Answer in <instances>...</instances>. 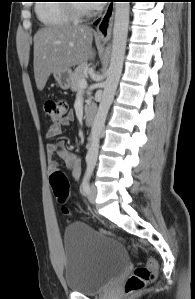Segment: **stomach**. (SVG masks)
<instances>
[{
  "mask_svg": "<svg viewBox=\"0 0 195 299\" xmlns=\"http://www.w3.org/2000/svg\"><path fill=\"white\" fill-rule=\"evenodd\" d=\"M72 74L73 73L71 69H67L64 71L54 72L53 76L60 88L66 90L69 89L71 86Z\"/></svg>",
  "mask_w": 195,
  "mask_h": 299,
  "instance_id": "1",
  "label": "stomach"
}]
</instances>
